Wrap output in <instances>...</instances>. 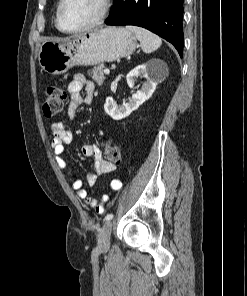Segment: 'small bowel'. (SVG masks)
<instances>
[{"label":"small bowel","mask_w":247,"mask_h":296,"mask_svg":"<svg viewBox=\"0 0 247 296\" xmlns=\"http://www.w3.org/2000/svg\"><path fill=\"white\" fill-rule=\"evenodd\" d=\"M85 89V97H82L81 90ZM67 90L70 94L68 114L70 118H74L76 110L83 103H90L95 94V85L88 81L83 75L77 74L68 83ZM50 130L53 134L51 139V150L56 164L61 169H66L67 163L64 158L65 145L72 141V133L67 129L66 125L60 121H54L50 124ZM81 152L85 157L94 159V170L87 176V183L90 186L96 184L99 176L109 174L115 170V166L106 161L99 147L95 144H84ZM66 176L70 178L72 189L77 193L83 202L93 208L96 213L102 214L106 207L111 203L112 193L104 194L100 200L90 196L83 188V181L71 172H66ZM122 186L120 180L115 179L111 182V189L117 192Z\"/></svg>","instance_id":"1"}]
</instances>
